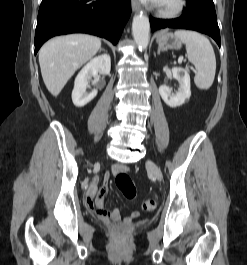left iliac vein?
<instances>
[{"instance_id": "obj_1", "label": "left iliac vein", "mask_w": 247, "mask_h": 265, "mask_svg": "<svg viewBox=\"0 0 247 265\" xmlns=\"http://www.w3.org/2000/svg\"><path fill=\"white\" fill-rule=\"evenodd\" d=\"M147 169L150 173L153 174V176L158 180L161 181L162 180V172L160 170V168L151 160H148L146 163Z\"/></svg>"}]
</instances>
